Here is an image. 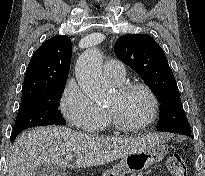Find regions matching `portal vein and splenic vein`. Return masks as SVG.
Segmentation results:
<instances>
[{"mask_svg": "<svg viewBox=\"0 0 205 176\" xmlns=\"http://www.w3.org/2000/svg\"><path fill=\"white\" fill-rule=\"evenodd\" d=\"M72 154H68V155H66V161H70V160H72Z\"/></svg>", "mask_w": 205, "mask_h": 176, "instance_id": "portal-vein-and-splenic-vein-1", "label": "portal vein and splenic vein"}]
</instances>
